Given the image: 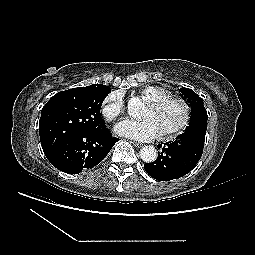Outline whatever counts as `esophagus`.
<instances>
[{"mask_svg":"<svg viewBox=\"0 0 255 255\" xmlns=\"http://www.w3.org/2000/svg\"><path fill=\"white\" fill-rule=\"evenodd\" d=\"M131 143H132L134 146L138 147V148H140V147H142V146H143V144H142V143H140V142L131 141Z\"/></svg>","mask_w":255,"mask_h":255,"instance_id":"34e87169","label":"esophagus"}]
</instances>
